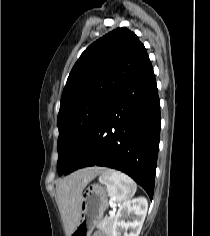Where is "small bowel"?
<instances>
[{
	"mask_svg": "<svg viewBox=\"0 0 210 236\" xmlns=\"http://www.w3.org/2000/svg\"><path fill=\"white\" fill-rule=\"evenodd\" d=\"M94 236H105L103 233H96Z\"/></svg>",
	"mask_w": 210,
	"mask_h": 236,
	"instance_id": "obj_1",
	"label": "small bowel"
}]
</instances>
